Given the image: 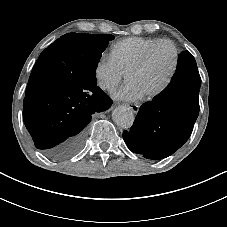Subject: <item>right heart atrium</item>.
Masks as SVG:
<instances>
[{
  "label": "right heart atrium",
  "instance_id": "1",
  "mask_svg": "<svg viewBox=\"0 0 227 227\" xmlns=\"http://www.w3.org/2000/svg\"><path fill=\"white\" fill-rule=\"evenodd\" d=\"M124 74L111 56L102 55L94 68V79L97 87L107 93H112L120 84Z\"/></svg>",
  "mask_w": 227,
  "mask_h": 227
}]
</instances>
